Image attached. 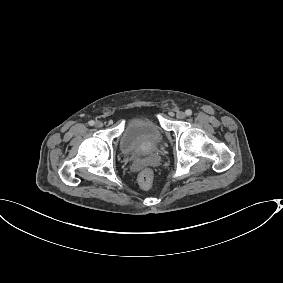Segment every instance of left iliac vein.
I'll return each mask as SVG.
<instances>
[{
    "instance_id": "left-iliac-vein-1",
    "label": "left iliac vein",
    "mask_w": 283,
    "mask_h": 283,
    "mask_svg": "<svg viewBox=\"0 0 283 283\" xmlns=\"http://www.w3.org/2000/svg\"><path fill=\"white\" fill-rule=\"evenodd\" d=\"M176 117L178 119H184L186 117V114L182 111H178L177 114H176Z\"/></svg>"
}]
</instances>
